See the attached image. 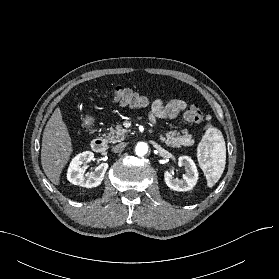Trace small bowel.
Returning <instances> with one entry per match:
<instances>
[{
	"label": "small bowel",
	"instance_id": "obj_1",
	"mask_svg": "<svg viewBox=\"0 0 279 279\" xmlns=\"http://www.w3.org/2000/svg\"><path fill=\"white\" fill-rule=\"evenodd\" d=\"M187 108V103L181 99H173L167 103L159 98L155 100L150 110V120L156 122L159 119H174L180 112Z\"/></svg>",
	"mask_w": 279,
	"mask_h": 279
}]
</instances>
